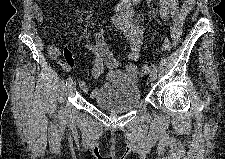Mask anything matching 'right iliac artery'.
I'll return each mask as SVG.
<instances>
[{
	"mask_svg": "<svg viewBox=\"0 0 225 159\" xmlns=\"http://www.w3.org/2000/svg\"><path fill=\"white\" fill-rule=\"evenodd\" d=\"M72 82H73L72 78L69 77V78L67 79V81H66V86L69 87V86L72 84Z\"/></svg>",
	"mask_w": 225,
	"mask_h": 159,
	"instance_id": "1",
	"label": "right iliac artery"
}]
</instances>
